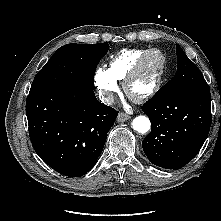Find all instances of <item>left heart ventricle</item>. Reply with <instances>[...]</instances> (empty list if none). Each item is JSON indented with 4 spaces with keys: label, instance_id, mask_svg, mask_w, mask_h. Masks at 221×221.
I'll use <instances>...</instances> for the list:
<instances>
[{
    "label": "left heart ventricle",
    "instance_id": "b2bd125f",
    "mask_svg": "<svg viewBox=\"0 0 221 221\" xmlns=\"http://www.w3.org/2000/svg\"><path fill=\"white\" fill-rule=\"evenodd\" d=\"M160 65V56L153 54L147 60L140 74L132 82L130 90L133 94H141L147 91L155 81Z\"/></svg>",
    "mask_w": 221,
    "mask_h": 221
}]
</instances>
